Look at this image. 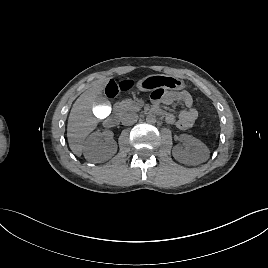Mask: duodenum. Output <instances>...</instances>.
<instances>
[{
	"label": "duodenum",
	"mask_w": 268,
	"mask_h": 268,
	"mask_svg": "<svg viewBox=\"0 0 268 268\" xmlns=\"http://www.w3.org/2000/svg\"><path fill=\"white\" fill-rule=\"evenodd\" d=\"M119 114L117 112H114L110 117L106 119V125L111 127L118 123L119 121Z\"/></svg>",
	"instance_id": "duodenum-1"
}]
</instances>
